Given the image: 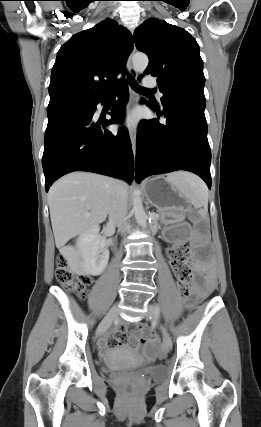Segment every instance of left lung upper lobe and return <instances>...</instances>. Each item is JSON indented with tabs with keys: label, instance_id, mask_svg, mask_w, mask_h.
I'll use <instances>...</instances> for the list:
<instances>
[{
	"label": "left lung upper lobe",
	"instance_id": "obj_1",
	"mask_svg": "<svg viewBox=\"0 0 261 427\" xmlns=\"http://www.w3.org/2000/svg\"><path fill=\"white\" fill-rule=\"evenodd\" d=\"M134 42L149 57L144 74L157 77L162 103L183 94L205 99L199 45L185 29L150 18L135 30Z\"/></svg>",
	"mask_w": 261,
	"mask_h": 427
}]
</instances>
